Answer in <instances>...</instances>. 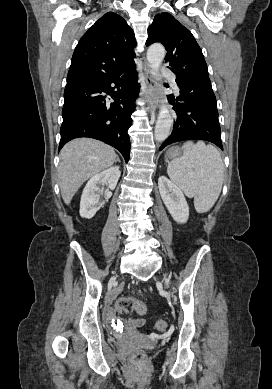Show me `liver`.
<instances>
[{
	"label": "liver",
	"mask_w": 272,
	"mask_h": 389,
	"mask_svg": "<svg viewBox=\"0 0 272 389\" xmlns=\"http://www.w3.org/2000/svg\"><path fill=\"white\" fill-rule=\"evenodd\" d=\"M117 155L100 141L81 138L67 143L60 152L59 186L65 204H69L80 186L89 178L109 168Z\"/></svg>",
	"instance_id": "obj_1"
}]
</instances>
